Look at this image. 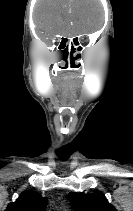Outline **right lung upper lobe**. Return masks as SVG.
I'll return each mask as SVG.
<instances>
[{"mask_svg": "<svg viewBox=\"0 0 133 211\" xmlns=\"http://www.w3.org/2000/svg\"><path fill=\"white\" fill-rule=\"evenodd\" d=\"M46 203L47 199L39 193L24 191L5 211H45Z\"/></svg>", "mask_w": 133, "mask_h": 211, "instance_id": "cb5924a9", "label": "right lung upper lobe"}]
</instances>
